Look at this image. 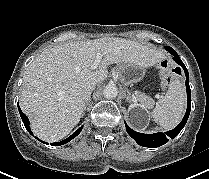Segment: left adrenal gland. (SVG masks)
<instances>
[{"label":"left adrenal gland","mask_w":209,"mask_h":179,"mask_svg":"<svg viewBox=\"0 0 209 179\" xmlns=\"http://www.w3.org/2000/svg\"><path fill=\"white\" fill-rule=\"evenodd\" d=\"M126 100H128L129 102H132V99L130 96H127Z\"/></svg>","instance_id":"obj_1"}]
</instances>
